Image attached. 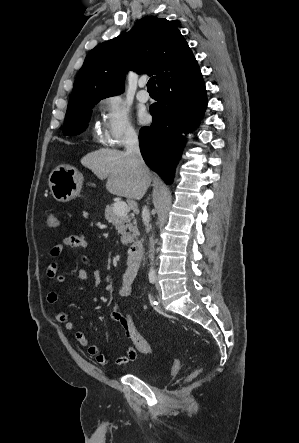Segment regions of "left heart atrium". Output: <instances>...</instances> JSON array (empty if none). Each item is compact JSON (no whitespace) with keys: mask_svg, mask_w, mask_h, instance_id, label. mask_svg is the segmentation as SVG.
Segmentation results:
<instances>
[{"mask_svg":"<svg viewBox=\"0 0 299 443\" xmlns=\"http://www.w3.org/2000/svg\"><path fill=\"white\" fill-rule=\"evenodd\" d=\"M138 120H139V122L142 123V124L146 123L147 120H148V115H147V113H146L145 111H140V112L138 113Z\"/></svg>","mask_w":299,"mask_h":443,"instance_id":"left-heart-atrium-1","label":"left heart atrium"}]
</instances>
